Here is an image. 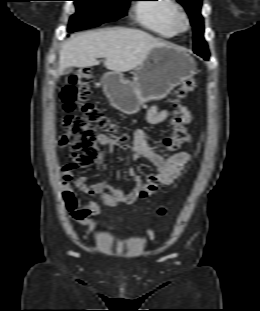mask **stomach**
<instances>
[{
  "instance_id": "obj_1",
  "label": "stomach",
  "mask_w": 260,
  "mask_h": 311,
  "mask_svg": "<svg viewBox=\"0 0 260 311\" xmlns=\"http://www.w3.org/2000/svg\"><path fill=\"white\" fill-rule=\"evenodd\" d=\"M196 71L193 57L183 48L168 44L149 52L132 82L126 81L121 73L110 71L102 76L101 83L115 108L134 114L144 102L165 98Z\"/></svg>"
}]
</instances>
